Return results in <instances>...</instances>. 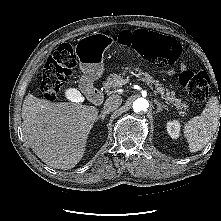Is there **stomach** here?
Wrapping results in <instances>:
<instances>
[{"label": "stomach", "instance_id": "0dacf381", "mask_svg": "<svg viewBox=\"0 0 221 221\" xmlns=\"http://www.w3.org/2000/svg\"><path fill=\"white\" fill-rule=\"evenodd\" d=\"M114 41L112 36L102 33L87 35L79 40V65L82 72L87 74V78L95 80L102 75L103 53Z\"/></svg>", "mask_w": 221, "mask_h": 221}]
</instances>
